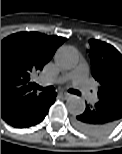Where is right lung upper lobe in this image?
Returning a JSON list of instances; mask_svg holds the SVG:
<instances>
[{
	"label": "right lung upper lobe",
	"instance_id": "obj_1",
	"mask_svg": "<svg viewBox=\"0 0 122 154\" xmlns=\"http://www.w3.org/2000/svg\"><path fill=\"white\" fill-rule=\"evenodd\" d=\"M65 38L38 32H20L1 41V117L8 119L25 104L46 93H37L30 81L43 69Z\"/></svg>",
	"mask_w": 122,
	"mask_h": 154
}]
</instances>
